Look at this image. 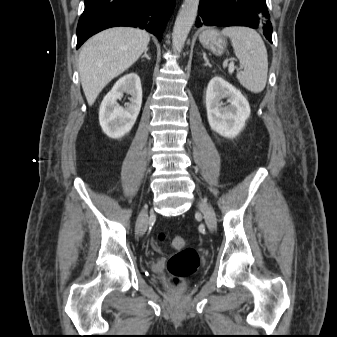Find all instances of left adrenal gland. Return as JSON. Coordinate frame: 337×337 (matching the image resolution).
<instances>
[{"instance_id": "a2214340", "label": "left adrenal gland", "mask_w": 337, "mask_h": 337, "mask_svg": "<svg viewBox=\"0 0 337 337\" xmlns=\"http://www.w3.org/2000/svg\"><path fill=\"white\" fill-rule=\"evenodd\" d=\"M203 59L205 61V65H209V61H208L205 53H203Z\"/></svg>"}]
</instances>
